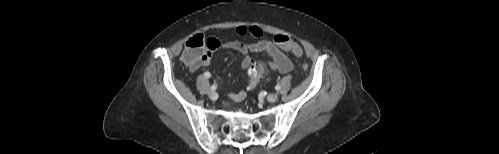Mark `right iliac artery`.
I'll list each match as a JSON object with an SVG mask.
<instances>
[{"label": "right iliac artery", "instance_id": "82829eb1", "mask_svg": "<svg viewBox=\"0 0 499 154\" xmlns=\"http://www.w3.org/2000/svg\"><path fill=\"white\" fill-rule=\"evenodd\" d=\"M204 76H205L206 78H210V77H211V74H210L209 72H205V73H204ZM216 89H217V86H216V85H212V86H211V90H212V91H215Z\"/></svg>", "mask_w": 499, "mask_h": 154}]
</instances>
